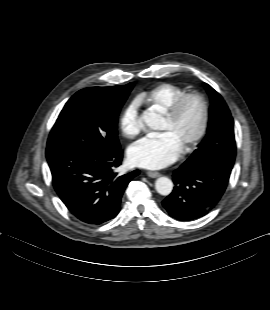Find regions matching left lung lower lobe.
Segmentation results:
<instances>
[{
  "label": "left lung lower lobe",
  "mask_w": 270,
  "mask_h": 310,
  "mask_svg": "<svg viewBox=\"0 0 270 310\" xmlns=\"http://www.w3.org/2000/svg\"><path fill=\"white\" fill-rule=\"evenodd\" d=\"M231 170L184 162L174 171V189L162 202L170 216L190 221L206 215L221 199Z\"/></svg>",
  "instance_id": "0a47b994"
}]
</instances>
